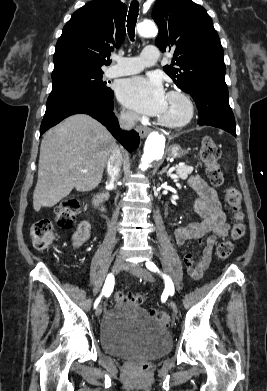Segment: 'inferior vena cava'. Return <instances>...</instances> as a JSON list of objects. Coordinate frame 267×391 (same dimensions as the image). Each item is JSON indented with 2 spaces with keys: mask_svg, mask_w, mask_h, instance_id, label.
Masks as SVG:
<instances>
[{
  "mask_svg": "<svg viewBox=\"0 0 267 391\" xmlns=\"http://www.w3.org/2000/svg\"><path fill=\"white\" fill-rule=\"evenodd\" d=\"M138 114L134 112H123L119 117V123L122 129L130 130L135 126L138 120ZM122 165V153L119 147L116 145L113 147L111 154L107 161V173L110 178V182L114 183L117 181L120 168Z\"/></svg>",
  "mask_w": 267,
  "mask_h": 391,
  "instance_id": "1",
  "label": "inferior vena cava"
}]
</instances>
